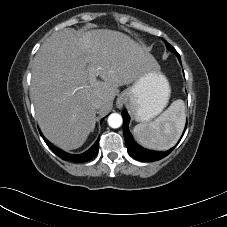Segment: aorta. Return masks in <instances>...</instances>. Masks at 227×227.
I'll use <instances>...</instances> for the list:
<instances>
[{
	"instance_id": "1",
	"label": "aorta",
	"mask_w": 227,
	"mask_h": 227,
	"mask_svg": "<svg viewBox=\"0 0 227 227\" xmlns=\"http://www.w3.org/2000/svg\"><path fill=\"white\" fill-rule=\"evenodd\" d=\"M108 124L111 128H119L122 125V116L118 113L110 114Z\"/></svg>"
}]
</instances>
